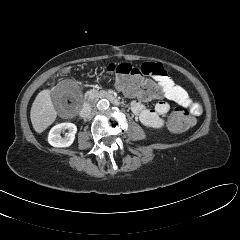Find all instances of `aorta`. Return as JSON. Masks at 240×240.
Here are the masks:
<instances>
[{"label": "aorta", "mask_w": 240, "mask_h": 240, "mask_svg": "<svg viewBox=\"0 0 240 240\" xmlns=\"http://www.w3.org/2000/svg\"><path fill=\"white\" fill-rule=\"evenodd\" d=\"M109 105H110V103H109V101L107 99H101L97 103V108H98V110L103 111V110L108 109Z\"/></svg>", "instance_id": "aorta-1"}]
</instances>
